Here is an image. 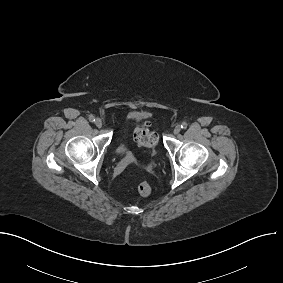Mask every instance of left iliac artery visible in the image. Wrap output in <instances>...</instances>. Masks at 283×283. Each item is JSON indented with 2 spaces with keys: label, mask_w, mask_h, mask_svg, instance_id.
I'll return each instance as SVG.
<instances>
[{
  "label": "left iliac artery",
  "mask_w": 283,
  "mask_h": 283,
  "mask_svg": "<svg viewBox=\"0 0 283 283\" xmlns=\"http://www.w3.org/2000/svg\"><path fill=\"white\" fill-rule=\"evenodd\" d=\"M181 128H182V129H186V128H187V123H186V122H183V123L181 124Z\"/></svg>",
  "instance_id": "1"
}]
</instances>
